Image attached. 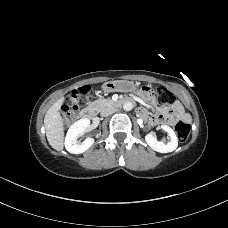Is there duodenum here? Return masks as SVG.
<instances>
[{
    "label": "duodenum",
    "mask_w": 228,
    "mask_h": 228,
    "mask_svg": "<svg viewBox=\"0 0 228 228\" xmlns=\"http://www.w3.org/2000/svg\"><path fill=\"white\" fill-rule=\"evenodd\" d=\"M128 103H132V99L126 98L113 101V105L115 106H121ZM80 117L84 120H93L95 118V112L91 108H85L80 112Z\"/></svg>",
    "instance_id": "410a0bca"
}]
</instances>
